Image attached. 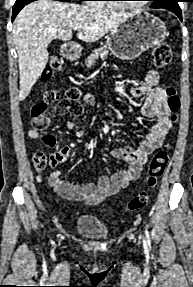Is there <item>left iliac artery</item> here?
<instances>
[{
	"mask_svg": "<svg viewBox=\"0 0 193 287\" xmlns=\"http://www.w3.org/2000/svg\"><path fill=\"white\" fill-rule=\"evenodd\" d=\"M145 234H146V236H148V232L145 230Z\"/></svg>",
	"mask_w": 193,
	"mask_h": 287,
	"instance_id": "obj_1",
	"label": "left iliac artery"
}]
</instances>
